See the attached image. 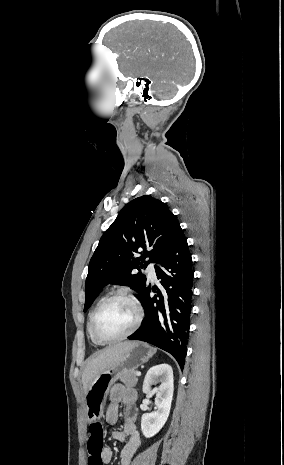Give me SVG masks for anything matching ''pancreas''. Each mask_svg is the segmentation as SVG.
Instances as JSON below:
<instances>
[{
	"label": "pancreas",
	"instance_id": "cf45deb5",
	"mask_svg": "<svg viewBox=\"0 0 284 465\" xmlns=\"http://www.w3.org/2000/svg\"><path fill=\"white\" fill-rule=\"evenodd\" d=\"M118 379H120L121 383L126 385L127 389L135 387L138 381L136 371H131V373H122V375H119Z\"/></svg>",
	"mask_w": 284,
	"mask_h": 465
}]
</instances>
